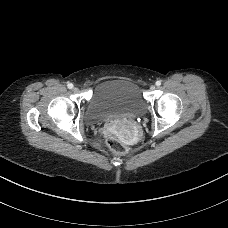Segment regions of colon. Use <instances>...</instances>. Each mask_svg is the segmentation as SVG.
<instances>
[{"label":"colon","mask_w":228,"mask_h":228,"mask_svg":"<svg viewBox=\"0 0 228 228\" xmlns=\"http://www.w3.org/2000/svg\"><path fill=\"white\" fill-rule=\"evenodd\" d=\"M107 143L109 148L116 154L124 155L128 153V147L117 134H111L108 136Z\"/></svg>","instance_id":"1"}]
</instances>
